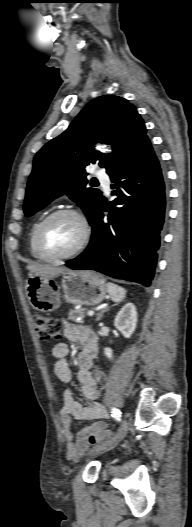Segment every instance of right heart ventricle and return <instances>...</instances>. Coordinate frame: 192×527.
I'll list each match as a JSON object with an SVG mask.
<instances>
[{"instance_id": "right-heart-ventricle-1", "label": "right heart ventricle", "mask_w": 192, "mask_h": 527, "mask_svg": "<svg viewBox=\"0 0 192 527\" xmlns=\"http://www.w3.org/2000/svg\"><path fill=\"white\" fill-rule=\"evenodd\" d=\"M45 216H41L39 217L36 222L33 224L32 226V229L30 231V234H29V239H28V246H29V250H30V253L31 255L34 257V258H38L40 259V257L38 256L36 250H35V246H34V235H35V231H36V228L38 226V224L42 221V219L44 218Z\"/></svg>"}]
</instances>
